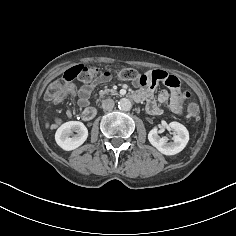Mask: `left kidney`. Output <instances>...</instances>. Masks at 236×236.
I'll use <instances>...</instances> for the list:
<instances>
[{
    "label": "left kidney",
    "instance_id": "left-kidney-1",
    "mask_svg": "<svg viewBox=\"0 0 236 236\" xmlns=\"http://www.w3.org/2000/svg\"><path fill=\"white\" fill-rule=\"evenodd\" d=\"M175 132L173 141L168 142L167 137H160L157 128L152 129L148 134L149 142L164 155H175L181 152L189 141L187 128L179 122L173 121L167 125Z\"/></svg>",
    "mask_w": 236,
    "mask_h": 236
}]
</instances>
